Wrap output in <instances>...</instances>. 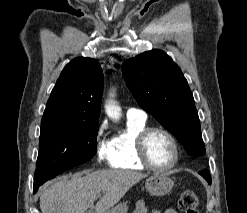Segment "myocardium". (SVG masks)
Segmentation results:
<instances>
[{"instance_id": "myocardium-1", "label": "myocardium", "mask_w": 247, "mask_h": 213, "mask_svg": "<svg viewBox=\"0 0 247 213\" xmlns=\"http://www.w3.org/2000/svg\"><path fill=\"white\" fill-rule=\"evenodd\" d=\"M153 132H161L165 134L169 140L172 143L173 146V160L172 162L166 166V167H157L154 164H152L147 156L146 153V142L149 137V135ZM135 153L138 161L147 169L155 171V172H168L172 170L174 167H176L179 158H180V148L178 141L174 134L169 131L168 129L161 127V126H152V127H146L143 130H141L135 140Z\"/></svg>"}]
</instances>
